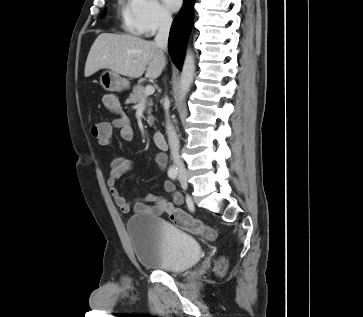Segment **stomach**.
Here are the masks:
<instances>
[{
  "label": "stomach",
  "mask_w": 363,
  "mask_h": 317,
  "mask_svg": "<svg viewBox=\"0 0 363 317\" xmlns=\"http://www.w3.org/2000/svg\"><path fill=\"white\" fill-rule=\"evenodd\" d=\"M100 84L105 90L111 92H119L129 88V81L112 70H106L101 74Z\"/></svg>",
  "instance_id": "0dacf381"
}]
</instances>
